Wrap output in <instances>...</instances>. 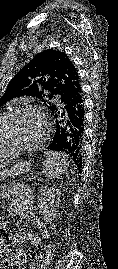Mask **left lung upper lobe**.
<instances>
[{
  "mask_svg": "<svg viewBox=\"0 0 118 269\" xmlns=\"http://www.w3.org/2000/svg\"><path fill=\"white\" fill-rule=\"evenodd\" d=\"M81 89L79 74L64 52L47 49L37 54L9 82L0 98V107L19 96H35L51 110L56 97L63 98Z\"/></svg>",
  "mask_w": 118,
  "mask_h": 269,
  "instance_id": "obj_1",
  "label": "left lung upper lobe"
}]
</instances>
